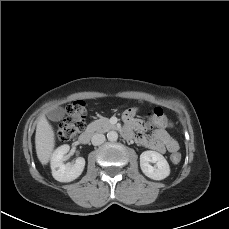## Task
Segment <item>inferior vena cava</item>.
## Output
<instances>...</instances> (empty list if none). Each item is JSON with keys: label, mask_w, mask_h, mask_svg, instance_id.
Instances as JSON below:
<instances>
[{"label": "inferior vena cava", "mask_w": 229, "mask_h": 229, "mask_svg": "<svg viewBox=\"0 0 229 229\" xmlns=\"http://www.w3.org/2000/svg\"><path fill=\"white\" fill-rule=\"evenodd\" d=\"M105 141V136L101 133H96L92 136L91 142L93 145H100Z\"/></svg>", "instance_id": "602c4592"}]
</instances>
